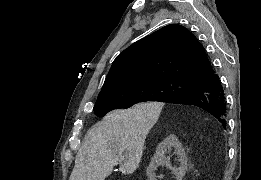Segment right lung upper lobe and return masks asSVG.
Returning a JSON list of instances; mask_svg holds the SVG:
<instances>
[{"label": "right lung upper lobe", "instance_id": "cb5924a9", "mask_svg": "<svg viewBox=\"0 0 261 180\" xmlns=\"http://www.w3.org/2000/svg\"><path fill=\"white\" fill-rule=\"evenodd\" d=\"M213 70L204 47L185 27L170 24L135 42L114 60L100 95L161 80H199Z\"/></svg>", "mask_w": 261, "mask_h": 180}]
</instances>
